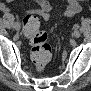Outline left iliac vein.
Masks as SVG:
<instances>
[{
  "instance_id": "4c4485c4",
  "label": "left iliac vein",
  "mask_w": 91,
  "mask_h": 91,
  "mask_svg": "<svg viewBox=\"0 0 91 91\" xmlns=\"http://www.w3.org/2000/svg\"><path fill=\"white\" fill-rule=\"evenodd\" d=\"M73 35H74V37L78 38V37H80L81 33L79 30H74Z\"/></svg>"
}]
</instances>
